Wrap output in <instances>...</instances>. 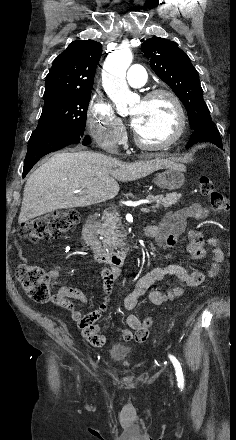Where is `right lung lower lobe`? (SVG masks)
Instances as JSON below:
<instances>
[{
  "mask_svg": "<svg viewBox=\"0 0 236 440\" xmlns=\"http://www.w3.org/2000/svg\"><path fill=\"white\" fill-rule=\"evenodd\" d=\"M91 139L83 132L76 130L65 131H36L32 133L28 151L24 161L23 177L44 155L57 151L73 143L90 144Z\"/></svg>",
  "mask_w": 236,
  "mask_h": 440,
  "instance_id": "98d812e1",
  "label": "right lung lower lobe"
}]
</instances>
